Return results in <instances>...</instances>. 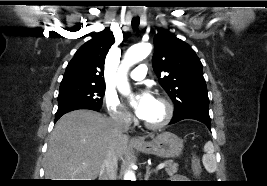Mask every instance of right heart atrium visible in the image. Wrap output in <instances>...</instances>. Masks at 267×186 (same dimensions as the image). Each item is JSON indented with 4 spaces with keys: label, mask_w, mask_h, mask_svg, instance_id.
<instances>
[{
    "label": "right heart atrium",
    "mask_w": 267,
    "mask_h": 186,
    "mask_svg": "<svg viewBox=\"0 0 267 186\" xmlns=\"http://www.w3.org/2000/svg\"><path fill=\"white\" fill-rule=\"evenodd\" d=\"M104 103L110 117L122 124L131 122V115L127 109L119 101L117 95L111 91H106L104 95Z\"/></svg>",
    "instance_id": "obj_1"
}]
</instances>
